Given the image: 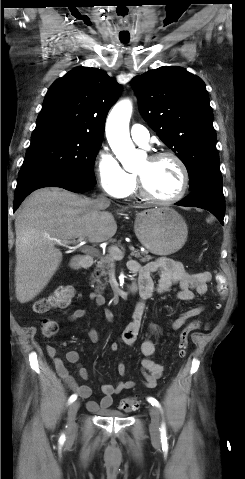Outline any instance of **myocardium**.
<instances>
[{"label": "myocardium", "instance_id": "f54148a6", "mask_svg": "<svg viewBox=\"0 0 245 479\" xmlns=\"http://www.w3.org/2000/svg\"><path fill=\"white\" fill-rule=\"evenodd\" d=\"M163 158L172 159L178 165L180 169L181 185L178 192L173 197L168 199L157 198L148 191L144 177L141 174L136 173L135 176H136L137 193L142 199L146 200L147 202L157 204V205H171L179 201L185 195L189 186V171L186 164L182 160V158L172 151H159V152L152 153L151 155L148 156V160L151 162H154Z\"/></svg>", "mask_w": 245, "mask_h": 479}]
</instances>
